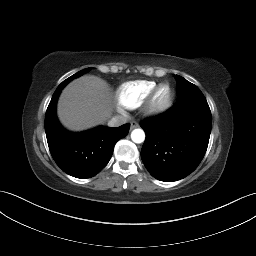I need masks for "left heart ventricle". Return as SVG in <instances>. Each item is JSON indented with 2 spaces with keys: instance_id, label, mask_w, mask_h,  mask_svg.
<instances>
[{
  "instance_id": "left-heart-ventricle-1",
  "label": "left heart ventricle",
  "mask_w": 256,
  "mask_h": 256,
  "mask_svg": "<svg viewBox=\"0 0 256 256\" xmlns=\"http://www.w3.org/2000/svg\"><path fill=\"white\" fill-rule=\"evenodd\" d=\"M168 93H169V89L168 88H163L161 90V92L159 93V95H158V100L159 101L165 100L167 95H168Z\"/></svg>"
}]
</instances>
